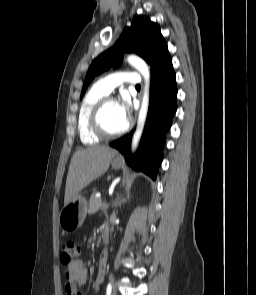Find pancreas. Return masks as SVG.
Returning a JSON list of instances; mask_svg holds the SVG:
<instances>
[{"label": "pancreas", "instance_id": "cf45deb5", "mask_svg": "<svg viewBox=\"0 0 256 295\" xmlns=\"http://www.w3.org/2000/svg\"><path fill=\"white\" fill-rule=\"evenodd\" d=\"M105 206H106V204L104 202H102V200L100 198H97L96 194H92V196L90 197V201H89L88 213L94 214V213L98 212V210H100V209H106Z\"/></svg>", "mask_w": 256, "mask_h": 295}]
</instances>
